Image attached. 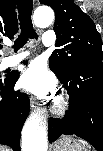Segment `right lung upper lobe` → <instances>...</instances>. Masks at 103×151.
<instances>
[{
  "label": "right lung upper lobe",
  "mask_w": 103,
  "mask_h": 151,
  "mask_svg": "<svg viewBox=\"0 0 103 151\" xmlns=\"http://www.w3.org/2000/svg\"><path fill=\"white\" fill-rule=\"evenodd\" d=\"M15 9V0H0V42L1 37L13 38L18 31Z\"/></svg>",
  "instance_id": "cb5924a9"
}]
</instances>
